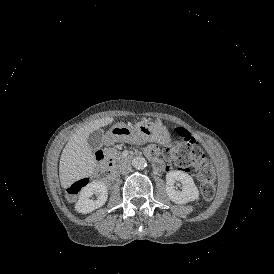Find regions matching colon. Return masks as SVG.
I'll use <instances>...</instances> for the list:
<instances>
[{
  "label": "colon",
  "instance_id": "5ec220e1",
  "mask_svg": "<svg viewBox=\"0 0 274 274\" xmlns=\"http://www.w3.org/2000/svg\"><path fill=\"white\" fill-rule=\"evenodd\" d=\"M196 148L176 141L165 148L163 157L166 160L172 161L177 168L182 169L187 166L195 168L201 184L200 191L202 197L212 199L215 195V171L210 162L201 161L196 157ZM90 182V175H79L78 180H70L66 193L72 196L79 193L80 189H89Z\"/></svg>",
  "mask_w": 274,
  "mask_h": 274
}]
</instances>
